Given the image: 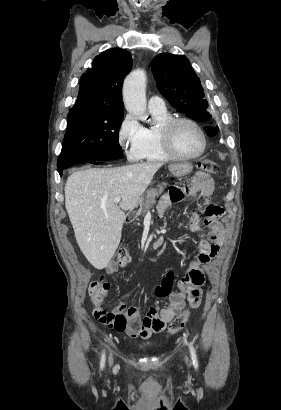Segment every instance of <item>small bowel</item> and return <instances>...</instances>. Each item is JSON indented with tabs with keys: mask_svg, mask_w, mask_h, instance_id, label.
<instances>
[{
	"mask_svg": "<svg viewBox=\"0 0 281 410\" xmlns=\"http://www.w3.org/2000/svg\"><path fill=\"white\" fill-rule=\"evenodd\" d=\"M214 181L213 179L202 172H198L192 179V193H200L210 197L213 193ZM171 205V200L168 194H165L160 199L157 209L159 215L162 217ZM220 216L206 215L205 219H201L196 213H192L189 217V225L191 229L199 235H204L205 229L207 239L200 244V252L191 262L187 275L179 281L178 291L172 292L174 284V272L168 271L161 283L155 288V295L158 298H168L167 307L158 310L156 307H151L147 315L140 319L134 308L127 307L125 303H119L115 313L129 315V326L122 330L129 337H141L147 339L154 333L163 331L165 325L170 322L175 316L176 312L182 309L186 300L190 303L200 302L201 292L200 287L205 282V275L202 267L207 265L212 259L217 257L224 239V228L219 220ZM118 271L116 263H109L106 266L108 274H114Z\"/></svg>",
	"mask_w": 281,
	"mask_h": 410,
	"instance_id": "1",
	"label": "small bowel"
}]
</instances>
